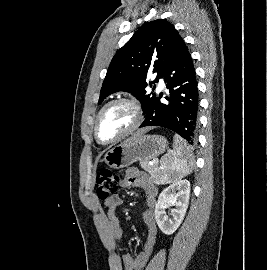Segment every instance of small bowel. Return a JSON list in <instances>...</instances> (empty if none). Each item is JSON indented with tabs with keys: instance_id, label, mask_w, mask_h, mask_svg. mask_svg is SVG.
I'll list each match as a JSON object with an SVG mask.
<instances>
[{
	"instance_id": "c3829d8e",
	"label": "small bowel",
	"mask_w": 267,
	"mask_h": 270,
	"mask_svg": "<svg viewBox=\"0 0 267 270\" xmlns=\"http://www.w3.org/2000/svg\"><path fill=\"white\" fill-rule=\"evenodd\" d=\"M123 187L139 188L145 196L146 208L143 212V219L147 226V235L142 249L132 258L129 254H123L122 257H116L117 266L125 265V270H140L149 259L157 239V223L155 218V206L157 202V189L150 181L148 176L136 169L129 168L125 172L121 181ZM123 203L119 195H114L104 201L107 208V218L109 222V232L113 240L120 241L124 236L123 229L117 215V209Z\"/></svg>"
}]
</instances>
